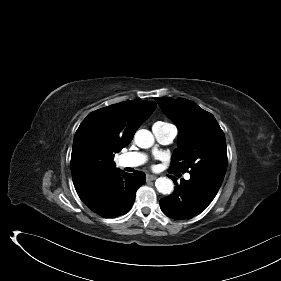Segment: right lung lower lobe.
I'll return each mask as SVG.
<instances>
[{
    "label": "right lung lower lobe",
    "mask_w": 281,
    "mask_h": 281,
    "mask_svg": "<svg viewBox=\"0 0 281 281\" xmlns=\"http://www.w3.org/2000/svg\"><path fill=\"white\" fill-rule=\"evenodd\" d=\"M145 183V174L116 169L95 180L78 193L80 199L95 213L105 218L127 213L135 200L137 189Z\"/></svg>",
    "instance_id": "obj_1"
}]
</instances>
